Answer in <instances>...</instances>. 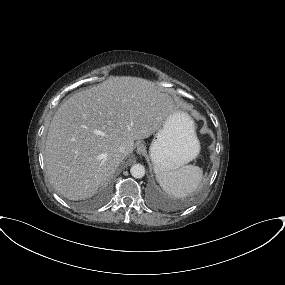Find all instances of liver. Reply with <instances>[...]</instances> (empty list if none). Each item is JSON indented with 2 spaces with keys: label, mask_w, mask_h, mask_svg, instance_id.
<instances>
[{
  "label": "liver",
  "mask_w": 285,
  "mask_h": 285,
  "mask_svg": "<svg viewBox=\"0 0 285 285\" xmlns=\"http://www.w3.org/2000/svg\"><path fill=\"white\" fill-rule=\"evenodd\" d=\"M179 112L154 83L115 76L67 99L52 118L44 150L47 175L70 200L94 195L125 158L134 141L150 137Z\"/></svg>",
  "instance_id": "liver-1"
}]
</instances>
